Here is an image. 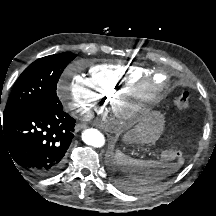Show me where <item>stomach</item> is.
I'll list each match as a JSON object with an SVG mask.
<instances>
[{"label": "stomach", "mask_w": 216, "mask_h": 216, "mask_svg": "<svg viewBox=\"0 0 216 216\" xmlns=\"http://www.w3.org/2000/svg\"><path fill=\"white\" fill-rule=\"evenodd\" d=\"M164 124V115L160 111H152L139 120L135 128L124 136V140L153 144L160 138Z\"/></svg>", "instance_id": "1"}]
</instances>
